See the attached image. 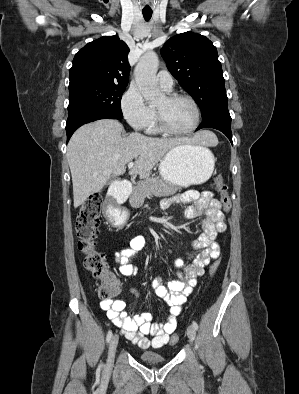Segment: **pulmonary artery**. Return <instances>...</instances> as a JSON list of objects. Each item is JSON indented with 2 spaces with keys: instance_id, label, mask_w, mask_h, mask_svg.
Masks as SVG:
<instances>
[{
  "instance_id": "obj_1",
  "label": "pulmonary artery",
  "mask_w": 299,
  "mask_h": 394,
  "mask_svg": "<svg viewBox=\"0 0 299 394\" xmlns=\"http://www.w3.org/2000/svg\"><path fill=\"white\" fill-rule=\"evenodd\" d=\"M159 86L165 91H171L173 88V78L168 71H160L158 73Z\"/></svg>"
}]
</instances>
